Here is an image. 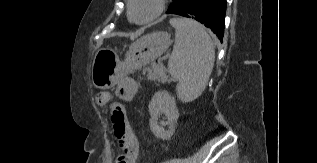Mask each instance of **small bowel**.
Returning a JSON list of instances; mask_svg holds the SVG:
<instances>
[{
    "mask_svg": "<svg viewBox=\"0 0 317 163\" xmlns=\"http://www.w3.org/2000/svg\"><path fill=\"white\" fill-rule=\"evenodd\" d=\"M137 89L136 82L131 78H120L116 83L117 95L125 101L132 100L137 93ZM114 135L119 148L115 163H136L139 155V144L133 128L126 124L123 133H117L114 130Z\"/></svg>",
    "mask_w": 317,
    "mask_h": 163,
    "instance_id": "1",
    "label": "small bowel"
}]
</instances>
